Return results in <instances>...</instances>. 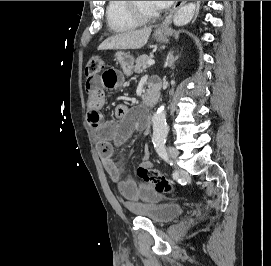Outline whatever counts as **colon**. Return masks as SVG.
<instances>
[{
	"mask_svg": "<svg viewBox=\"0 0 271 266\" xmlns=\"http://www.w3.org/2000/svg\"><path fill=\"white\" fill-rule=\"evenodd\" d=\"M105 66L104 59L99 55L92 56L86 66L87 76L97 75ZM138 176L146 183L153 186L157 193H172V186L168 179L152 167L140 166L137 170Z\"/></svg>",
	"mask_w": 271,
	"mask_h": 266,
	"instance_id": "obj_1",
	"label": "colon"
}]
</instances>
